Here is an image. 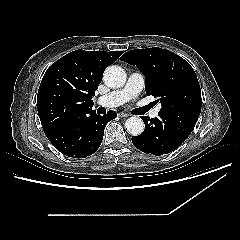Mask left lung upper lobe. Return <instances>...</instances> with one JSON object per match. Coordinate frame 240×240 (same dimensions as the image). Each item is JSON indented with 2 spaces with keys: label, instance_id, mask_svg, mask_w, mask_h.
Here are the masks:
<instances>
[{
  "label": "left lung upper lobe",
  "instance_id": "1",
  "mask_svg": "<svg viewBox=\"0 0 240 240\" xmlns=\"http://www.w3.org/2000/svg\"><path fill=\"white\" fill-rule=\"evenodd\" d=\"M145 76L146 94L162 105L161 113L195 109L201 111V89L190 64L177 54L158 47L135 49L122 57Z\"/></svg>",
  "mask_w": 240,
  "mask_h": 240
}]
</instances>
